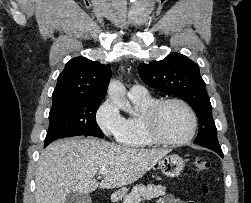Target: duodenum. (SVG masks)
I'll list each match as a JSON object with an SVG mask.
<instances>
[{
  "mask_svg": "<svg viewBox=\"0 0 251 203\" xmlns=\"http://www.w3.org/2000/svg\"><path fill=\"white\" fill-rule=\"evenodd\" d=\"M118 198H119V194L114 193V194L112 195V200H113V201H116Z\"/></svg>",
  "mask_w": 251,
  "mask_h": 203,
  "instance_id": "duodenum-1",
  "label": "duodenum"
}]
</instances>
